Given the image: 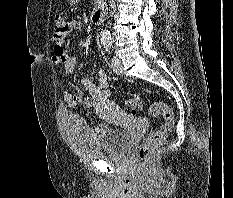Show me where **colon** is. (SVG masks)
<instances>
[{
  "label": "colon",
  "instance_id": "1",
  "mask_svg": "<svg viewBox=\"0 0 233 198\" xmlns=\"http://www.w3.org/2000/svg\"><path fill=\"white\" fill-rule=\"evenodd\" d=\"M65 19L60 15L55 16L54 25L55 31H61L65 25ZM127 105L131 112L136 113L142 107V102L139 98L133 97L128 100ZM150 113L153 117L162 116L164 122L159 129L151 132L143 143L137 149V158L140 162H145L149 153L157 148L169 135L174 128V112L173 110L163 102H155L150 107Z\"/></svg>",
  "mask_w": 233,
  "mask_h": 198
}]
</instances>
